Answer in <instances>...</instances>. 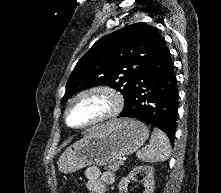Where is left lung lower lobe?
Returning a JSON list of instances; mask_svg holds the SVG:
<instances>
[{
	"label": "left lung lower lobe",
	"instance_id": "1",
	"mask_svg": "<svg viewBox=\"0 0 221 193\" xmlns=\"http://www.w3.org/2000/svg\"><path fill=\"white\" fill-rule=\"evenodd\" d=\"M177 110V80L174 63L166 47L136 77L120 117L136 118L154 125L166 133L173 145Z\"/></svg>",
	"mask_w": 221,
	"mask_h": 193
}]
</instances>
